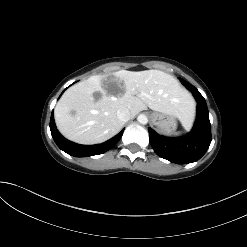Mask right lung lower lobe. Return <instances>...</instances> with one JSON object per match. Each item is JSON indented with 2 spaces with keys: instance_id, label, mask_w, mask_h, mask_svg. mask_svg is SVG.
I'll return each mask as SVG.
<instances>
[{
  "instance_id": "98d812e1",
  "label": "right lung lower lobe",
  "mask_w": 247,
  "mask_h": 247,
  "mask_svg": "<svg viewBox=\"0 0 247 247\" xmlns=\"http://www.w3.org/2000/svg\"><path fill=\"white\" fill-rule=\"evenodd\" d=\"M50 130H51V135L55 143L57 144V146L64 152L68 153L71 156H75V157H87V156H93V155H99V154L105 153L119 141L124 131L123 129L115 137L101 144H96V145L76 144V143H73L65 139L56 129L53 112L51 114Z\"/></svg>"
}]
</instances>
